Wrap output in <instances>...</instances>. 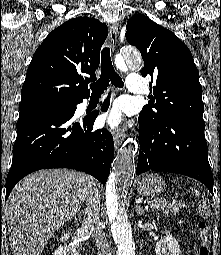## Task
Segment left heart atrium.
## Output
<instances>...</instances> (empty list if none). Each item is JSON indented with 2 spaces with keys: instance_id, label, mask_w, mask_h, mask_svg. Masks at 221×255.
<instances>
[{
  "instance_id": "obj_1",
  "label": "left heart atrium",
  "mask_w": 221,
  "mask_h": 255,
  "mask_svg": "<svg viewBox=\"0 0 221 255\" xmlns=\"http://www.w3.org/2000/svg\"><path fill=\"white\" fill-rule=\"evenodd\" d=\"M122 106L120 103L116 102L113 104L111 109L104 115V120L111 127L118 126L122 121Z\"/></svg>"
}]
</instances>
